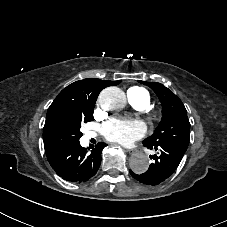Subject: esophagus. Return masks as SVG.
Returning a JSON list of instances; mask_svg holds the SVG:
<instances>
[{"instance_id":"esophagus-1","label":"esophagus","mask_w":227,"mask_h":227,"mask_svg":"<svg viewBox=\"0 0 227 227\" xmlns=\"http://www.w3.org/2000/svg\"><path fill=\"white\" fill-rule=\"evenodd\" d=\"M146 151V148L144 146H136V147H132L130 150H128L127 152H129L130 156H135L136 153H144Z\"/></svg>"}]
</instances>
